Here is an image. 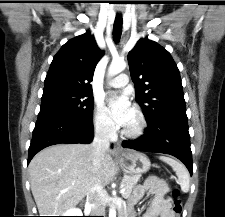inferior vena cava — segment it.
<instances>
[{"label": "inferior vena cava", "instance_id": "1", "mask_svg": "<svg viewBox=\"0 0 225 217\" xmlns=\"http://www.w3.org/2000/svg\"><path fill=\"white\" fill-rule=\"evenodd\" d=\"M115 134L112 122H106L97 129L92 143L93 166L96 172L101 168L104 154L110 147L109 138ZM104 193L103 186L100 184H94L87 193V200L92 204V213L95 216L105 214Z\"/></svg>", "mask_w": 225, "mask_h": 217}]
</instances>
